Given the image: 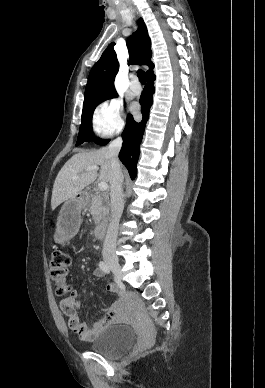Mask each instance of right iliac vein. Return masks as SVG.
<instances>
[{"mask_svg":"<svg viewBox=\"0 0 265 388\" xmlns=\"http://www.w3.org/2000/svg\"><path fill=\"white\" fill-rule=\"evenodd\" d=\"M105 263L108 265V267L112 270V272L115 274L117 279L121 282L122 280V271L120 264L118 262V259L113 256L106 255L104 257Z\"/></svg>","mask_w":265,"mask_h":388,"instance_id":"obj_1","label":"right iliac vein"}]
</instances>
